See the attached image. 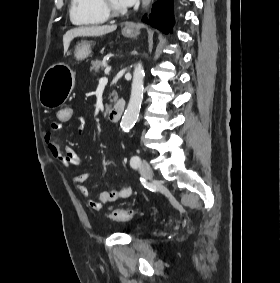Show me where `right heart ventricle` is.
<instances>
[{"label":"right heart ventricle","mask_w":280,"mask_h":283,"mask_svg":"<svg viewBox=\"0 0 280 283\" xmlns=\"http://www.w3.org/2000/svg\"><path fill=\"white\" fill-rule=\"evenodd\" d=\"M70 19L75 25H96L107 21L108 16L99 0H71Z\"/></svg>","instance_id":"1"}]
</instances>
